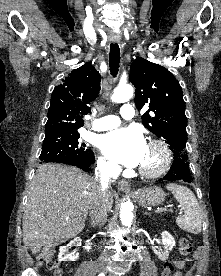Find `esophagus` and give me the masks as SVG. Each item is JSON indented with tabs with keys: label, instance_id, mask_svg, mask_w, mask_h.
I'll list each match as a JSON object with an SVG mask.
<instances>
[{
	"label": "esophagus",
	"instance_id": "esophagus-1",
	"mask_svg": "<svg viewBox=\"0 0 221 276\" xmlns=\"http://www.w3.org/2000/svg\"><path fill=\"white\" fill-rule=\"evenodd\" d=\"M118 190L123 192H131V186L130 183L126 180H120L118 182Z\"/></svg>",
	"mask_w": 221,
	"mask_h": 276
}]
</instances>
